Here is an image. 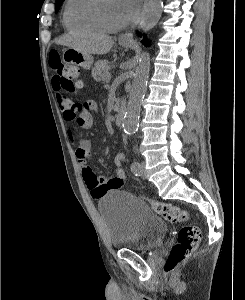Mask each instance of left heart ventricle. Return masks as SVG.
<instances>
[{"label":"left heart ventricle","instance_id":"b2bd125f","mask_svg":"<svg viewBox=\"0 0 245 300\" xmlns=\"http://www.w3.org/2000/svg\"><path fill=\"white\" fill-rule=\"evenodd\" d=\"M102 15L105 22L110 26L119 25L129 19L121 0H103Z\"/></svg>","mask_w":245,"mask_h":300}]
</instances>
